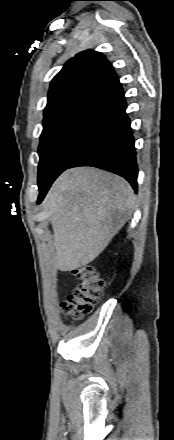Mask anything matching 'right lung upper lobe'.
<instances>
[{
    "mask_svg": "<svg viewBox=\"0 0 174 440\" xmlns=\"http://www.w3.org/2000/svg\"><path fill=\"white\" fill-rule=\"evenodd\" d=\"M118 82L104 55L90 50L78 53L53 78L44 117L85 97L99 96Z\"/></svg>",
    "mask_w": 174,
    "mask_h": 440,
    "instance_id": "obj_1",
    "label": "right lung upper lobe"
}]
</instances>
